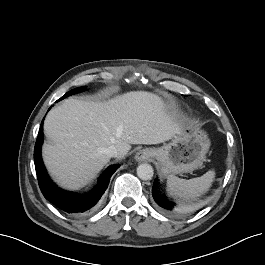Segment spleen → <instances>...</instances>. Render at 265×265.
<instances>
[{"mask_svg": "<svg viewBox=\"0 0 265 265\" xmlns=\"http://www.w3.org/2000/svg\"><path fill=\"white\" fill-rule=\"evenodd\" d=\"M215 172L210 170L200 177L189 180L170 175L167 178V189L170 194L184 198H195L205 193L212 185Z\"/></svg>", "mask_w": 265, "mask_h": 265, "instance_id": "spleen-1", "label": "spleen"}]
</instances>
